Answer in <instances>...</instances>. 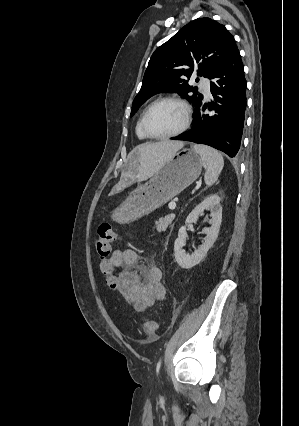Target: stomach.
Listing matches in <instances>:
<instances>
[{
  "label": "stomach",
  "mask_w": 299,
  "mask_h": 426,
  "mask_svg": "<svg viewBox=\"0 0 299 426\" xmlns=\"http://www.w3.org/2000/svg\"><path fill=\"white\" fill-rule=\"evenodd\" d=\"M203 161L193 149L177 151L146 184L133 190L111 215L120 224L130 223L167 203L200 175Z\"/></svg>",
  "instance_id": "stomach-1"
}]
</instances>
